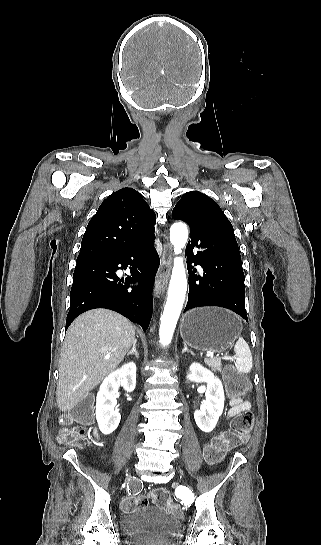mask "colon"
Returning a JSON list of instances; mask_svg holds the SVG:
<instances>
[{
  "label": "colon",
  "mask_w": 321,
  "mask_h": 545,
  "mask_svg": "<svg viewBox=\"0 0 321 545\" xmlns=\"http://www.w3.org/2000/svg\"><path fill=\"white\" fill-rule=\"evenodd\" d=\"M224 381L229 395L232 398H242L249 393L248 381L237 374L232 367H228L224 373ZM68 419L76 425L65 427L58 435L61 444L78 446L84 439L87 426L92 421V405L90 401H84L73 407L68 412ZM252 415L249 411L237 414L231 423V429L215 438L205 449L206 460L210 463L222 458L228 450L241 445L249 436L252 428ZM150 497L164 510L179 514V507L173 502L169 492L164 488L155 489ZM148 498L142 495H131L124 498L121 508L125 512H131L146 506Z\"/></svg>",
  "instance_id": "colon-1"
}]
</instances>
